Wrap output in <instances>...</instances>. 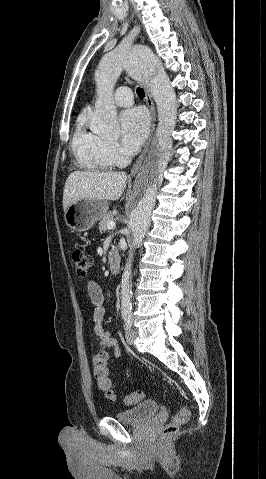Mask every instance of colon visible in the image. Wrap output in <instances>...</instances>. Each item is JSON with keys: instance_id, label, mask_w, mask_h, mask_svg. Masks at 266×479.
I'll list each match as a JSON object with an SVG mask.
<instances>
[{"instance_id": "5ec220e1", "label": "colon", "mask_w": 266, "mask_h": 479, "mask_svg": "<svg viewBox=\"0 0 266 479\" xmlns=\"http://www.w3.org/2000/svg\"><path fill=\"white\" fill-rule=\"evenodd\" d=\"M71 260L76 274L79 277H86L92 266V257L81 249H75L71 254ZM93 363L94 377L99 390L104 393L107 399L114 401L116 399V395L112 389V384L109 377L108 353L106 352L105 348L101 347V349L95 354ZM142 399L143 393L141 391H134L127 394L123 401L127 405H134L140 402ZM189 418L190 411L186 407L179 405L177 412L174 414L171 421L163 431V440L167 442L174 437L178 433L179 428L188 422Z\"/></svg>"}]
</instances>
